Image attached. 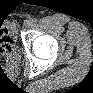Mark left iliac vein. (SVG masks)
<instances>
[{
  "mask_svg": "<svg viewBox=\"0 0 93 93\" xmlns=\"http://www.w3.org/2000/svg\"><path fill=\"white\" fill-rule=\"evenodd\" d=\"M32 23H33L32 20H26L24 25L25 27L29 28L30 26H32Z\"/></svg>",
  "mask_w": 93,
  "mask_h": 93,
  "instance_id": "left-iliac-vein-1",
  "label": "left iliac vein"
}]
</instances>
